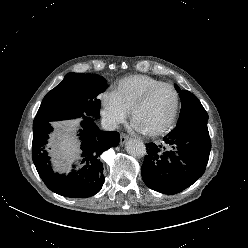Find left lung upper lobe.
Returning a JSON list of instances; mask_svg holds the SVG:
<instances>
[{"instance_id": "1", "label": "left lung upper lobe", "mask_w": 248, "mask_h": 248, "mask_svg": "<svg viewBox=\"0 0 248 248\" xmlns=\"http://www.w3.org/2000/svg\"><path fill=\"white\" fill-rule=\"evenodd\" d=\"M182 103L178 124L208 121V114L195 95L175 85Z\"/></svg>"}]
</instances>
